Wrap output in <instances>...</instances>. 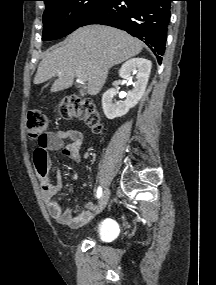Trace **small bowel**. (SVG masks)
<instances>
[{
	"label": "small bowel",
	"instance_id": "1",
	"mask_svg": "<svg viewBox=\"0 0 216 285\" xmlns=\"http://www.w3.org/2000/svg\"><path fill=\"white\" fill-rule=\"evenodd\" d=\"M69 140L70 144L65 146V141ZM84 141L83 133L79 130L59 129L48 133L47 144L43 149L37 148L34 153V164L37 175L43 184V200L48 209L50 216L60 224L70 228H78L86 224L98 208L92 202L85 204L86 210L77 216L73 215L70 208H63L62 205L54 199V196L63 188L62 177L58 173L57 181L50 183L49 170L51 161L48 156L50 151H62L69 159L79 162L81 160L80 150Z\"/></svg>",
	"mask_w": 216,
	"mask_h": 285
}]
</instances>
